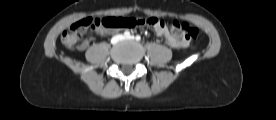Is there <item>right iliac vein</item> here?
<instances>
[{"label": "right iliac vein", "instance_id": "right-iliac-vein-1", "mask_svg": "<svg viewBox=\"0 0 276 120\" xmlns=\"http://www.w3.org/2000/svg\"><path fill=\"white\" fill-rule=\"evenodd\" d=\"M121 39H122V36L118 35L113 39V41L116 42V41H119Z\"/></svg>", "mask_w": 276, "mask_h": 120}]
</instances>
